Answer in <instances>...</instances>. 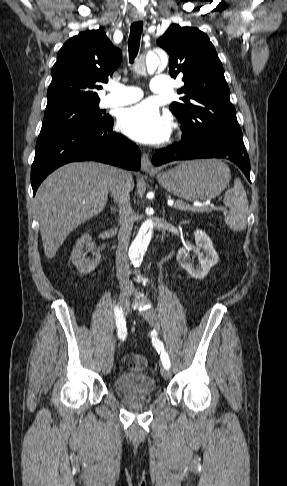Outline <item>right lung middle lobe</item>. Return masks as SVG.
<instances>
[{"mask_svg": "<svg viewBox=\"0 0 287 486\" xmlns=\"http://www.w3.org/2000/svg\"><path fill=\"white\" fill-rule=\"evenodd\" d=\"M99 101V99L73 101L46 107L40 134L101 124L107 115L102 116V111L98 107Z\"/></svg>", "mask_w": 287, "mask_h": 486, "instance_id": "1", "label": "right lung middle lobe"}]
</instances>
